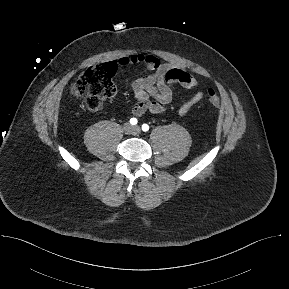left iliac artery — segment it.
<instances>
[{"label": "left iliac artery", "mask_w": 289, "mask_h": 289, "mask_svg": "<svg viewBox=\"0 0 289 289\" xmlns=\"http://www.w3.org/2000/svg\"><path fill=\"white\" fill-rule=\"evenodd\" d=\"M142 130H143L144 132H147V131L149 130V125H148V124H143V125H142Z\"/></svg>", "instance_id": "obj_1"}]
</instances>
